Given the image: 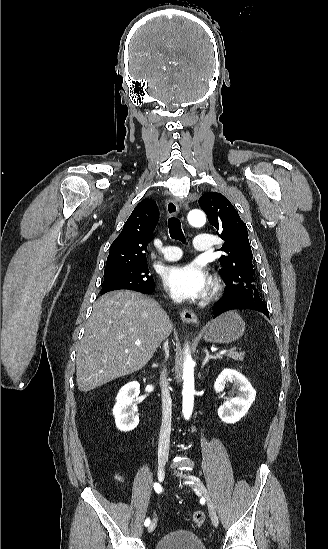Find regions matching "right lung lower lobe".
<instances>
[{
    "label": "right lung lower lobe",
    "mask_w": 328,
    "mask_h": 549,
    "mask_svg": "<svg viewBox=\"0 0 328 549\" xmlns=\"http://www.w3.org/2000/svg\"><path fill=\"white\" fill-rule=\"evenodd\" d=\"M155 290V287L150 289V290H147V291H141L142 293H145V294H149V293H152L153 291Z\"/></svg>",
    "instance_id": "obj_1"
}]
</instances>
